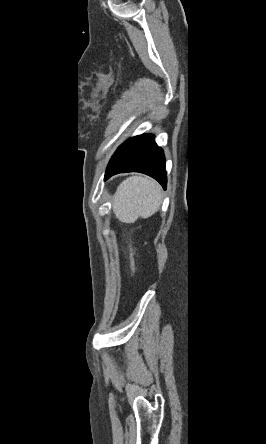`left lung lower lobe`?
Here are the masks:
<instances>
[{
    "mask_svg": "<svg viewBox=\"0 0 266 444\" xmlns=\"http://www.w3.org/2000/svg\"><path fill=\"white\" fill-rule=\"evenodd\" d=\"M122 172H141L155 178L166 189V169L163 151L154 142V136L143 134L123 143L112 156L105 180Z\"/></svg>",
    "mask_w": 266,
    "mask_h": 444,
    "instance_id": "left-lung-lower-lobe-1",
    "label": "left lung lower lobe"
}]
</instances>
